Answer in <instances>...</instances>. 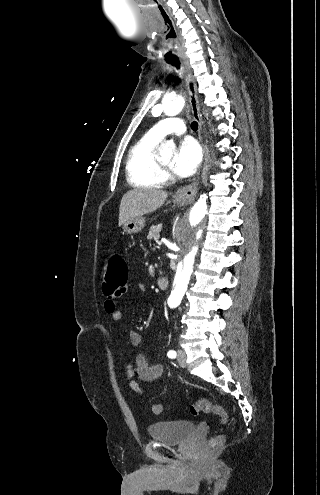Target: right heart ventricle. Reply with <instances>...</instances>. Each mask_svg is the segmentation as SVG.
<instances>
[{
	"mask_svg": "<svg viewBox=\"0 0 320 495\" xmlns=\"http://www.w3.org/2000/svg\"><path fill=\"white\" fill-rule=\"evenodd\" d=\"M160 139L149 132L130 147L126 160L127 181L137 188H157L163 183L155 149Z\"/></svg>",
	"mask_w": 320,
	"mask_h": 495,
	"instance_id": "1",
	"label": "right heart ventricle"
}]
</instances>
